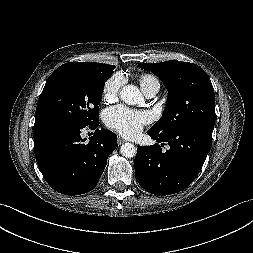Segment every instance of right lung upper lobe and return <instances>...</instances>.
Here are the masks:
<instances>
[{
  "label": "right lung upper lobe",
  "instance_id": "cb5924a9",
  "mask_svg": "<svg viewBox=\"0 0 253 253\" xmlns=\"http://www.w3.org/2000/svg\"><path fill=\"white\" fill-rule=\"evenodd\" d=\"M89 64H94V65H97V66H100V67H103L105 69L107 68H115V66H111V65H108V64H99V63H91V62H88Z\"/></svg>",
  "mask_w": 253,
  "mask_h": 253
}]
</instances>
